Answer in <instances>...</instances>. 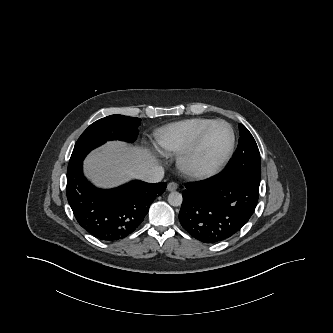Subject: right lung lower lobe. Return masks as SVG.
Returning <instances> with one entry per match:
<instances>
[{
	"mask_svg": "<svg viewBox=\"0 0 333 333\" xmlns=\"http://www.w3.org/2000/svg\"><path fill=\"white\" fill-rule=\"evenodd\" d=\"M167 184L132 181L103 190L83 175L82 162L67 170L66 194L78 223L103 241H116L133 233L148 213L151 202Z\"/></svg>",
	"mask_w": 333,
	"mask_h": 333,
	"instance_id": "obj_1",
	"label": "right lung lower lobe"
}]
</instances>
